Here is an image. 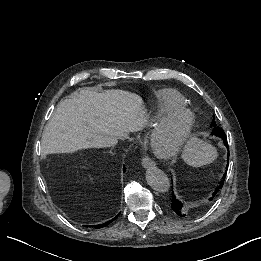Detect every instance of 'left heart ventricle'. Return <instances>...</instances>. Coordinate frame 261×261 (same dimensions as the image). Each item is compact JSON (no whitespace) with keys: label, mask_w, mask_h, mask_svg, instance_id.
I'll return each mask as SVG.
<instances>
[{"label":"left heart ventricle","mask_w":261,"mask_h":261,"mask_svg":"<svg viewBox=\"0 0 261 261\" xmlns=\"http://www.w3.org/2000/svg\"><path fill=\"white\" fill-rule=\"evenodd\" d=\"M185 119L173 116L159 123L151 132L148 144L153 150L169 151L181 141Z\"/></svg>","instance_id":"b2bd125f"}]
</instances>
